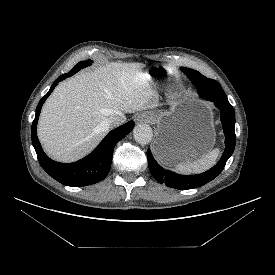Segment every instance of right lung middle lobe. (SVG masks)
Here are the masks:
<instances>
[{"instance_id": "dd1d6c3e", "label": "right lung middle lobe", "mask_w": 275, "mask_h": 275, "mask_svg": "<svg viewBox=\"0 0 275 275\" xmlns=\"http://www.w3.org/2000/svg\"><path fill=\"white\" fill-rule=\"evenodd\" d=\"M91 64H92L91 60L81 61V62L77 63L74 66V68L71 71H69L68 73L78 72L81 68H84V67L89 66Z\"/></svg>"}]
</instances>
